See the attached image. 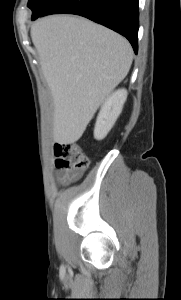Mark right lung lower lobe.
I'll return each mask as SVG.
<instances>
[{"mask_svg": "<svg viewBox=\"0 0 181 300\" xmlns=\"http://www.w3.org/2000/svg\"><path fill=\"white\" fill-rule=\"evenodd\" d=\"M138 9V0H56L32 20L57 13L81 15L125 36L137 53Z\"/></svg>", "mask_w": 181, "mask_h": 300, "instance_id": "obj_1", "label": "right lung lower lobe"}]
</instances>
